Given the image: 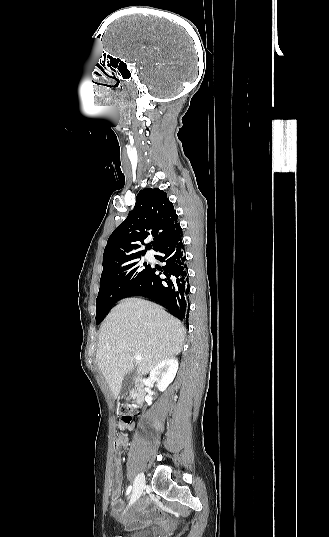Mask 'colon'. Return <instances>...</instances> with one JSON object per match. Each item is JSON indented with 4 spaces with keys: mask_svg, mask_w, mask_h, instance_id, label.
Wrapping results in <instances>:
<instances>
[{
    "mask_svg": "<svg viewBox=\"0 0 329 537\" xmlns=\"http://www.w3.org/2000/svg\"><path fill=\"white\" fill-rule=\"evenodd\" d=\"M120 417L123 423L129 424L132 421V408L129 404L122 406L120 409ZM129 444V436L127 433L118 432L114 438V452L120 454L124 452Z\"/></svg>",
    "mask_w": 329,
    "mask_h": 537,
    "instance_id": "5ec220e1",
    "label": "colon"
}]
</instances>
